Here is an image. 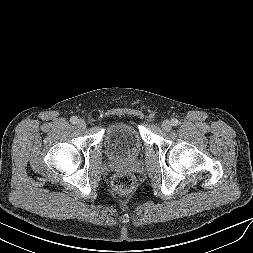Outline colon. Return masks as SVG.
Masks as SVG:
<instances>
[{
    "label": "colon",
    "instance_id": "colon-1",
    "mask_svg": "<svg viewBox=\"0 0 253 253\" xmlns=\"http://www.w3.org/2000/svg\"><path fill=\"white\" fill-rule=\"evenodd\" d=\"M113 185L119 192H128L133 188L134 179L130 174L122 173L114 178Z\"/></svg>",
    "mask_w": 253,
    "mask_h": 253
}]
</instances>
